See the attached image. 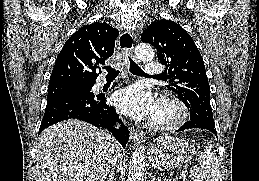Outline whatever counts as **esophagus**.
<instances>
[{
    "instance_id": "obj_1",
    "label": "esophagus",
    "mask_w": 259,
    "mask_h": 181,
    "mask_svg": "<svg viewBox=\"0 0 259 181\" xmlns=\"http://www.w3.org/2000/svg\"><path fill=\"white\" fill-rule=\"evenodd\" d=\"M134 41H135V36L132 32L127 30L121 32L118 39V45L120 50L123 53L133 54ZM129 131H130V139L135 144H140L141 142L144 141L145 135L143 131L137 130L134 127H130Z\"/></svg>"
}]
</instances>
